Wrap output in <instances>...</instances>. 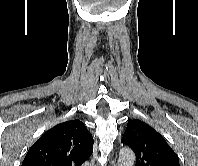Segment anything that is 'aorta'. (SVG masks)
I'll list each match as a JSON object with an SVG mask.
<instances>
[{
	"label": "aorta",
	"instance_id": "aorta-1",
	"mask_svg": "<svg viewBox=\"0 0 198 166\" xmlns=\"http://www.w3.org/2000/svg\"><path fill=\"white\" fill-rule=\"evenodd\" d=\"M134 162V152L130 148H122L119 152L118 166H133Z\"/></svg>",
	"mask_w": 198,
	"mask_h": 166
}]
</instances>
